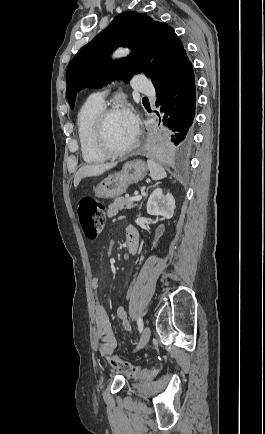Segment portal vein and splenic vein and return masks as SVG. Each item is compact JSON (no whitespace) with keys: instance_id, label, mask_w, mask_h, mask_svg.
<instances>
[{"instance_id":"portal-vein-and-splenic-vein-1","label":"portal vein and splenic vein","mask_w":265,"mask_h":434,"mask_svg":"<svg viewBox=\"0 0 265 434\" xmlns=\"http://www.w3.org/2000/svg\"><path fill=\"white\" fill-rule=\"evenodd\" d=\"M142 196H134V198H127L129 202H138V200H141Z\"/></svg>"}]
</instances>
